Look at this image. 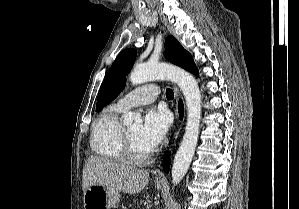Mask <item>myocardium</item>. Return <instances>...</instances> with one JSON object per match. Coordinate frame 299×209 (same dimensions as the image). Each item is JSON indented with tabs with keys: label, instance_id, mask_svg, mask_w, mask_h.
Here are the masks:
<instances>
[{
	"label": "myocardium",
	"instance_id": "myocardium-1",
	"mask_svg": "<svg viewBox=\"0 0 299 209\" xmlns=\"http://www.w3.org/2000/svg\"><path fill=\"white\" fill-rule=\"evenodd\" d=\"M122 139H123V155L125 160L128 163L135 166H141L148 163L151 160L153 156L152 150L148 154L141 157L135 155L132 148L131 140L129 138L126 129L123 130Z\"/></svg>",
	"mask_w": 299,
	"mask_h": 209
}]
</instances>
